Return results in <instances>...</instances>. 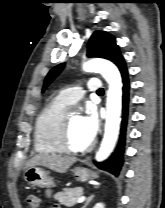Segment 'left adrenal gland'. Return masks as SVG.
I'll use <instances>...</instances> for the list:
<instances>
[{
    "mask_svg": "<svg viewBox=\"0 0 165 208\" xmlns=\"http://www.w3.org/2000/svg\"><path fill=\"white\" fill-rule=\"evenodd\" d=\"M93 198H94V195H90V196L86 199L84 205H83L81 208H86L87 205H89V203L92 201Z\"/></svg>",
    "mask_w": 165,
    "mask_h": 208,
    "instance_id": "left-adrenal-gland-1",
    "label": "left adrenal gland"
}]
</instances>
